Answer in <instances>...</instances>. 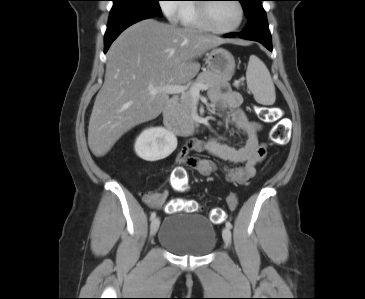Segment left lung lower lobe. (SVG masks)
I'll return each instance as SVG.
<instances>
[{
	"label": "left lung lower lobe",
	"mask_w": 365,
	"mask_h": 299,
	"mask_svg": "<svg viewBox=\"0 0 365 299\" xmlns=\"http://www.w3.org/2000/svg\"><path fill=\"white\" fill-rule=\"evenodd\" d=\"M236 35L246 40L260 42L269 51H272L271 34L265 12L258 14L253 19L249 20L247 28L242 33H229L226 34L225 37H235Z\"/></svg>",
	"instance_id": "0a47b994"
}]
</instances>
